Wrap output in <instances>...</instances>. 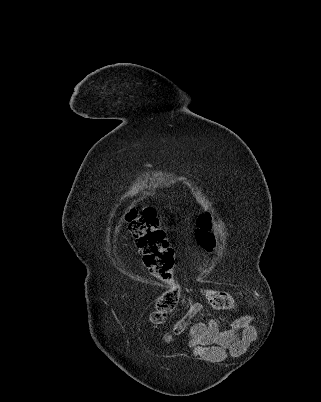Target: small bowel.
<instances>
[{
	"mask_svg": "<svg viewBox=\"0 0 321 402\" xmlns=\"http://www.w3.org/2000/svg\"><path fill=\"white\" fill-rule=\"evenodd\" d=\"M201 304L188 306L172 327V331L181 332L189 327V345L199 357L218 361L231 355L241 354L248 343L255 338V327L250 315H241L239 320H232V329H242V337L235 338L234 331L222 330L216 321L192 322L203 311Z\"/></svg>",
	"mask_w": 321,
	"mask_h": 402,
	"instance_id": "1",
	"label": "small bowel"
}]
</instances>
